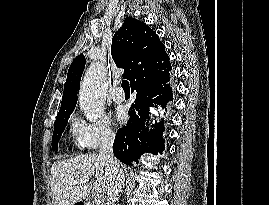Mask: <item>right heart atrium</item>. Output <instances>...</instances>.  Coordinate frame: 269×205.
<instances>
[{"label":"right heart atrium","instance_id":"d8ad5b80","mask_svg":"<svg viewBox=\"0 0 269 205\" xmlns=\"http://www.w3.org/2000/svg\"><path fill=\"white\" fill-rule=\"evenodd\" d=\"M72 134L77 145L82 149L93 150L102 144L111 143L115 133L107 116H101L90 122L80 116L72 119Z\"/></svg>","mask_w":269,"mask_h":205}]
</instances>
